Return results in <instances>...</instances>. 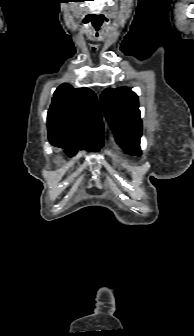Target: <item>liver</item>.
Wrapping results in <instances>:
<instances>
[{"instance_id": "1", "label": "liver", "mask_w": 194, "mask_h": 336, "mask_svg": "<svg viewBox=\"0 0 194 336\" xmlns=\"http://www.w3.org/2000/svg\"><path fill=\"white\" fill-rule=\"evenodd\" d=\"M62 161L61 157H57L56 163H60Z\"/></svg>"}]
</instances>
